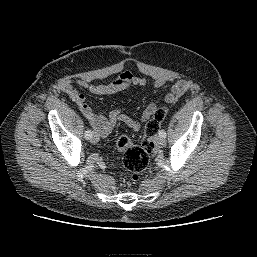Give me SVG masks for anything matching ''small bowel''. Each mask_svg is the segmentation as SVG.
Returning a JSON list of instances; mask_svg holds the SVG:
<instances>
[{
    "mask_svg": "<svg viewBox=\"0 0 257 257\" xmlns=\"http://www.w3.org/2000/svg\"><path fill=\"white\" fill-rule=\"evenodd\" d=\"M168 81L167 77H157L153 85L156 88L162 87ZM75 85L86 89L94 95L114 94L126 90L131 86L143 87L146 79L133 75L129 71L120 73L116 78L106 84H92L86 79H76L62 84V91L77 105L82 115L86 118L98 138L106 137L118 123L125 124L134 131H138L141 124L147 121L157 110V104L152 102L146 106L139 120H136L119 109L112 110L108 115L95 114L86 103L85 96L79 92ZM191 87V83L185 79H177L171 86L170 91L164 96V102L174 103L180 99Z\"/></svg>",
    "mask_w": 257,
    "mask_h": 257,
    "instance_id": "c3829d8e",
    "label": "small bowel"
}]
</instances>
